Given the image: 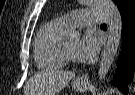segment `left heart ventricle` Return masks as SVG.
Returning a JSON list of instances; mask_svg holds the SVG:
<instances>
[{"instance_id":"1","label":"left heart ventricle","mask_w":135,"mask_h":95,"mask_svg":"<svg viewBox=\"0 0 135 95\" xmlns=\"http://www.w3.org/2000/svg\"><path fill=\"white\" fill-rule=\"evenodd\" d=\"M77 29H81V28H77ZM79 39H71L66 41V45L69 49V51L72 53V55H74L76 57V49H77V45H78Z\"/></svg>"}]
</instances>
